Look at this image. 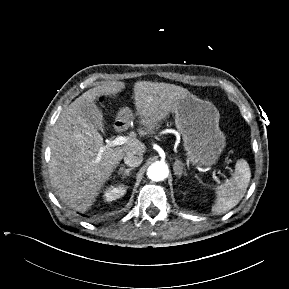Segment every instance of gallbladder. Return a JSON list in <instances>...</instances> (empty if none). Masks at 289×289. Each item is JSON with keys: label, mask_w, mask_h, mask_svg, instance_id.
<instances>
[{"label": "gallbladder", "mask_w": 289, "mask_h": 289, "mask_svg": "<svg viewBox=\"0 0 289 289\" xmlns=\"http://www.w3.org/2000/svg\"><path fill=\"white\" fill-rule=\"evenodd\" d=\"M85 117L89 122L93 123L96 128L100 129L103 127V115L97 106L87 107L85 109ZM100 121L102 122V125L98 124Z\"/></svg>", "instance_id": "gallbladder-1"}]
</instances>
